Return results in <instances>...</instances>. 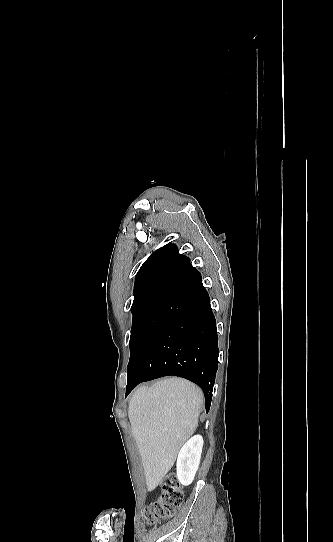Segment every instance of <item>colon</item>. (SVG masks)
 <instances>
[{"label":"colon","mask_w":333,"mask_h":542,"mask_svg":"<svg viewBox=\"0 0 333 542\" xmlns=\"http://www.w3.org/2000/svg\"><path fill=\"white\" fill-rule=\"evenodd\" d=\"M183 493L179 482L173 474L162 479V491L156 501L147 504L144 510L145 520L152 524L173 515L182 505Z\"/></svg>","instance_id":"5ec220e1"}]
</instances>
